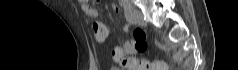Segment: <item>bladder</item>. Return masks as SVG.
<instances>
[{"instance_id": "bladder-1", "label": "bladder", "mask_w": 238, "mask_h": 70, "mask_svg": "<svg viewBox=\"0 0 238 70\" xmlns=\"http://www.w3.org/2000/svg\"><path fill=\"white\" fill-rule=\"evenodd\" d=\"M111 70H122V69H120V68H112Z\"/></svg>"}]
</instances>
